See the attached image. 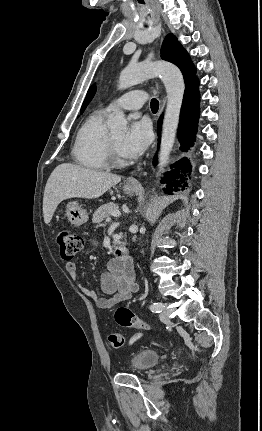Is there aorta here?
<instances>
[{
	"label": "aorta",
	"instance_id": "obj_1",
	"mask_svg": "<svg viewBox=\"0 0 262 431\" xmlns=\"http://www.w3.org/2000/svg\"><path fill=\"white\" fill-rule=\"evenodd\" d=\"M155 76L161 78L167 92L158 163V175H160L169 161L175 142L185 91L183 75L178 67L167 62H143L129 65L123 69L120 73L118 87L119 89H126ZM126 126L127 121L122 111H118L108 121V127L114 135L123 134L126 131Z\"/></svg>",
	"mask_w": 262,
	"mask_h": 431
}]
</instances>
